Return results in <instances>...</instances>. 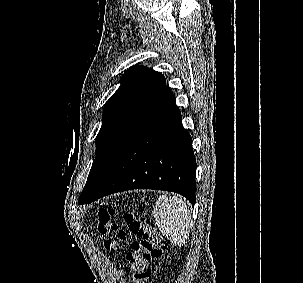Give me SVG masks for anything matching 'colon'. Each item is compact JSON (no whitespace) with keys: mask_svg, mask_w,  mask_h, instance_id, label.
<instances>
[{"mask_svg":"<svg viewBox=\"0 0 303 283\" xmlns=\"http://www.w3.org/2000/svg\"><path fill=\"white\" fill-rule=\"evenodd\" d=\"M115 215L116 210L113 207H102L95 215L96 230L105 247L112 252L120 250L127 236L114 222ZM125 222L129 231L138 237L127 254L131 279L134 283H150L151 271L148 263L162 255L166 242L155 226L144 217L128 213L125 215Z\"/></svg>","mask_w":303,"mask_h":283,"instance_id":"1","label":"colon"}]
</instances>
